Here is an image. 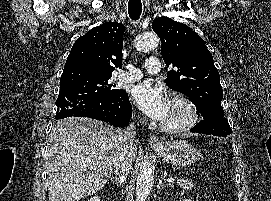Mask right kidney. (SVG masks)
Returning <instances> with one entry per match:
<instances>
[{"label":"right kidney","mask_w":271,"mask_h":201,"mask_svg":"<svg viewBox=\"0 0 271 201\" xmlns=\"http://www.w3.org/2000/svg\"><path fill=\"white\" fill-rule=\"evenodd\" d=\"M88 201H100V198L98 196H94L92 198H90V200Z\"/></svg>","instance_id":"ca27d5eb"}]
</instances>
